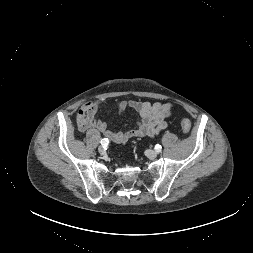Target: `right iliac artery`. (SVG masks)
I'll list each match as a JSON object with an SVG mask.
<instances>
[{"mask_svg": "<svg viewBox=\"0 0 253 253\" xmlns=\"http://www.w3.org/2000/svg\"><path fill=\"white\" fill-rule=\"evenodd\" d=\"M100 143H101V145H103V146H107L108 143H109V141H108L107 138H105V139H101ZM104 148H105V147H104Z\"/></svg>", "mask_w": 253, "mask_h": 253, "instance_id": "obj_1", "label": "right iliac artery"}]
</instances>
